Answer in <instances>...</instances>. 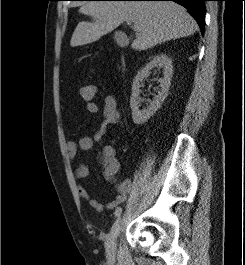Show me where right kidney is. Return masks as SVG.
Returning a JSON list of instances; mask_svg holds the SVG:
<instances>
[{"mask_svg":"<svg viewBox=\"0 0 245 265\" xmlns=\"http://www.w3.org/2000/svg\"><path fill=\"white\" fill-rule=\"evenodd\" d=\"M155 67L163 68L164 77L159 79L160 91H158V94L154 96L147 108L140 110V88L143 85V80L149 76L150 70ZM172 74V60L165 54H159L154 56L152 60L147 63L134 77L132 84V94L130 98V108L132 110V119L135 124H144L161 107V104L167 97V93L171 85L170 81Z\"/></svg>","mask_w":245,"mask_h":265,"instance_id":"obj_1","label":"right kidney"}]
</instances>
